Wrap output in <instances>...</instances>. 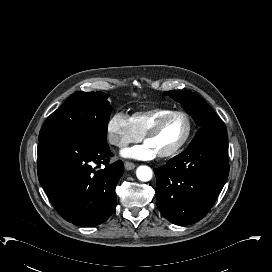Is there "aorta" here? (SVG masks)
Listing matches in <instances>:
<instances>
[{"label": "aorta", "mask_w": 272, "mask_h": 272, "mask_svg": "<svg viewBox=\"0 0 272 272\" xmlns=\"http://www.w3.org/2000/svg\"><path fill=\"white\" fill-rule=\"evenodd\" d=\"M136 176L140 181L147 182L152 179L153 172L149 166H139L136 170Z\"/></svg>", "instance_id": "1"}]
</instances>
